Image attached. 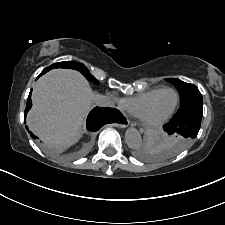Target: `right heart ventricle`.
Instances as JSON below:
<instances>
[{
    "mask_svg": "<svg viewBox=\"0 0 225 225\" xmlns=\"http://www.w3.org/2000/svg\"><path fill=\"white\" fill-rule=\"evenodd\" d=\"M161 88L152 89L141 92L136 96L127 98L123 102V108L133 116L139 117L143 111L145 105L151 100V98L160 91Z\"/></svg>",
    "mask_w": 225,
    "mask_h": 225,
    "instance_id": "obj_1",
    "label": "right heart ventricle"
}]
</instances>
